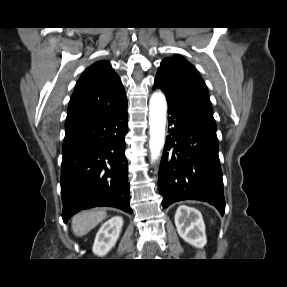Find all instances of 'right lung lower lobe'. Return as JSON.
<instances>
[{
	"instance_id": "right-lung-lower-lobe-1",
	"label": "right lung lower lobe",
	"mask_w": 287,
	"mask_h": 287,
	"mask_svg": "<svg viewBox=\"0 0 287 287\" xmlns=\"http://www.w3.org/2000/svg\"><path fill=\"white\" fill-rule=\"evenodd\" d=\"M127 101L117 110L65 125L61 166L62 218L111 206L132 213L124 136Z\"/></svg>"
}]
</instances>
